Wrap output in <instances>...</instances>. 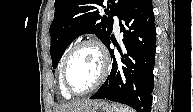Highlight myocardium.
<instances>
[{
	"mask_svg": "<svg viewBox=\"0 0 193 112\" xmlns=\"http://www.w3.org/2000/svg\"><path fill=\"white\" fill-rule=\"evenodd\" d=\"M84 46H92L98 51V53L100 55V59H101V68H100L99 75H98L96 81L93 83V85L84 91L78 92V91L73 90L69 84L68 76H67V69H68V65H69V62H70L72 55L78 49H80L81 47H84ZM109 66H110L109 54H108L106 48L104 47V45L100 41L90 38V39H84V40L74 44L68 50V52L64 58L62 70H61L62 81H63V85L65 87V90L71 96H83V95L91 93L92 91L96 90L104 82V80L106 79L108 72H109Z\"/></svg>",
	"mask_w": 193,
	"mask_h": 112,
	"instance_id": "1",
	"label": "myocardium"
}]
</instances>
